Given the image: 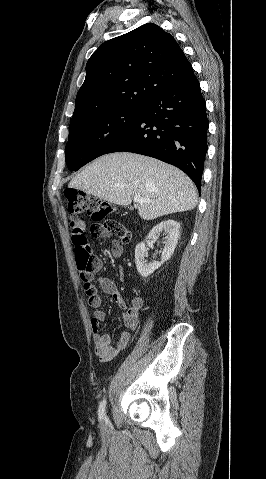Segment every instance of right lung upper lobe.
<instances>
[{
  "instance_id": "1",
  "label": "right lung upper lobe",
  "mask_w": 266,
  "mask_h": 479,
  "mask_svg": "<svg viewBox=\"0 0 266 479\" xmlns=\"http://www.w3.org/2000/svg\"><path fill=\"white\" fill-rule=\"evenodd\" d=\"M194 75L172 35L153 23L101 44L86 65L72 120L144 107L163 90Z\"/></svg>"
}]
</instances>
